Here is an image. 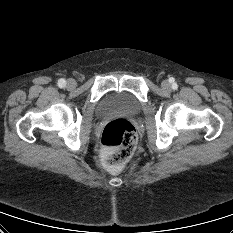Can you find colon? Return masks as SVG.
Instances as JSON below:
<instances>
[{
	"mask_svg": "<svg viewBox=\"0 0 233 233\" xmlns=\"http://www.w3.org/2000/svg\"><path fill=\"white\" fill-rule=\"evenodd\" d=\"M101 144L105 150L104 164L116 169L134 153L137 133L133 124L123 118L110 121L102 131Z\"/></svg>",
	"mask_w": 233,
	"mask_h": 233,
	"instance_id": "colon-1",
	"label": "colon"
}]
</instances>
